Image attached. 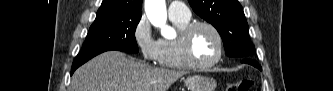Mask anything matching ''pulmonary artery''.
I'll return each mask as SVG.
<instances>
[{
    "instance_id": "e3ab8cb5",
    "label": "pulmonary artery",
    "mask_w": 333,
    "mask_h": 91,
    "mask_svg": "<svg viewBox=\"0 0 333 91\" xmlns=\"http://www.w3.org/2000/svg\"><path fill=\"white\" fill-rule=\"evenodd\" d=\"M168 13L174 17H190L191 12L189 8L182 2L174 1L168 7Z\"/></svg>"
}]
</instances>
